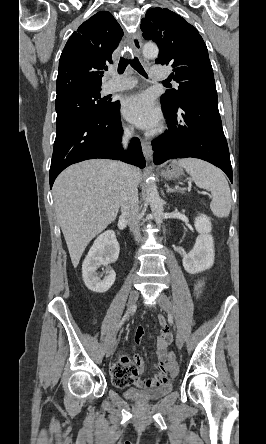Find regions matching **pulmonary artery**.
Here are the masks:
<instances>
[{"label": "pulmonary artery", "mask_w": 266, "mask_h": 444, "mask_svg": "<svg viewBox=\"0 0 266 444\" xmlns=\"http://www.w3.org/2000/svg\"><path fill=\"white\" fill-rule=\"evenodd\" d=\"M149 74L153 79H163L166 76V71L163 66H152L149 68ZM112 75H114L112 73ZM136 82L127 77L122 78L121 80L109 81L105 86V91L108 93L124 91L127 89H131L135 86Z\"/></svg>", "instance_id": "e3ab8cb5"}]
</instances>
